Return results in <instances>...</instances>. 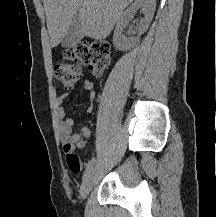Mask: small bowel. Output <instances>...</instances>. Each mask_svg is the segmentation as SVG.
Here are the masks:
<instances>
[{
    "label": "small bowel",
    "instance_id": "obj_1",
    "mask_svg": "<svg viewBox=\"0 0 216 217\" xmlns=\"http://www.w3.org/2000/svg\"><path fill=\"white\" fill-rule=\"evenodd\" d=\"M81 88L87 92L88 111H91V104L95 99L94 84L91 80L85 79L81 83ZM68 97L69 93L64 92L57 99V114L60 119L59 133L65 151L72 147L74 143L92 137L91 130L88 127H82L79 131L76 130L74 120L67 116L64 103Z\"/></svg>",
    "mask_w": 216,
    "mask_h": 217
}]
</instances>
